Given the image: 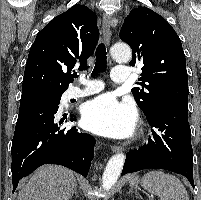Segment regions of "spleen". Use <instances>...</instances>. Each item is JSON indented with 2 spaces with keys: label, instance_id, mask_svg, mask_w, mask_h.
Here are the masks:
<instances>
[{
  "label": "spleen",
  "instance_id": "spleen-1",
  "mask_svg": "<svg viewBox=\"0 0 201 200\" xmlns=\"http://www.w3.org/2000/svg\"><path fill=\"white\" fill-rule=\"evenodd\" d=\"M142 186L160 200H189L188 193L181 181L174 175L153 170L146 173Z\"/></svg>",
  "mask_w": 201,
  "mask_h": 200
}]
</instances>
